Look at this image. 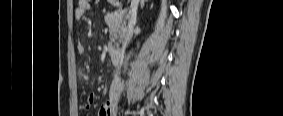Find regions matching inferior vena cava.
Here are the masks:
<instances>
[{"label": "inferior vena cava", "mask_w": 283, "mask_h": 116, "mask_svg": "<svg viewBox=\"0 0 283 116\" xmlns=\"http://www.w3.org/2000/svg\"><path fill=\"white\" fill-rule=\"evenodd\" d=\"M139 0H132L131 2V9H130V16H129V24L125 38V46L130 42L132 35H133V28L136 23V16H137V8H138Z\"/></svg>", "instance_id": "obj_1"}]
</instances>
